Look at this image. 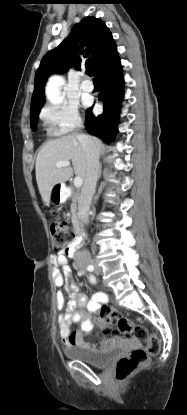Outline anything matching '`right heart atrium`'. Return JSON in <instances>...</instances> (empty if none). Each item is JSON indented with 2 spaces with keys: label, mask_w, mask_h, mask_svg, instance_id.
Here are the masks:
<instances>
[{
  "label": "right heart atrium",
  "mask_w": 187,
  "mask_h": 415,
  "mask_svg": "<svg viewBox=\"0 0 187 415\" xmlns=\"http://www.w3.org/2000/svg\"><path fill=\"white\" fill-rule=\"evenodd\" d=\"M40 118L49 131L56 135L71 133L82 124L77 106L65 101L45 106L41 110Z\"/></svg>",
  "instance_id": "d8ad5b80"
}]
</instances>
